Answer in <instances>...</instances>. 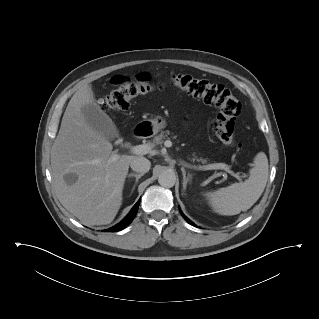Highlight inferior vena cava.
I'll use <instances>...</instances> for the list:
<instances>
[{"label":"inferior vena cava","instance_id":"obj_1","mask_svg":"<svg viewBox=\"0 0 319 319\" xmlns=\"http://www.w3.org/2000/svg\"><path fill=\"white\" fill-rule=\"evenodd\" d=\"M130 167L132 168V170L144 174V173L149 171V169L151 167V163L145 157H135L131 161Z\"/></svg>","mask_w":319,"mask_h":319}]
</instances>
